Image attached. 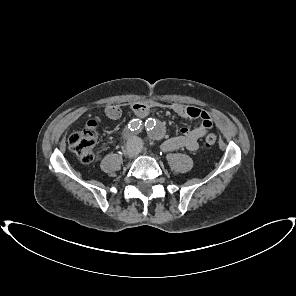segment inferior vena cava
Segmentation results:
<instances>
[{
  "instance_id": "obj_1",
  "label": "inferior vena cava",
  "mask_w": 296,
  "mask_h": 296,
  "mask_svg": "<svg viewBox=\"0 0 296 296\" xmlns=\"http://www.w3.org/2000/svg\"><path fill=\"white\" fill-rule=\"evenodd\" d=\"M127 148L131 150L134 154L140 152L142 148V140L137 136L131 137L127 142Z\"/></svg>"
}]
</instances>
